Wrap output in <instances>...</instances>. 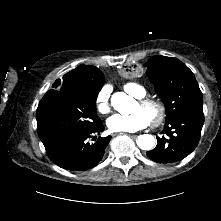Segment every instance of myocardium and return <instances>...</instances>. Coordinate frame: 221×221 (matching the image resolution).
<instances>
[{
	"label": "myocardium",
	"instance_id": "f54148a6",
	"mask_svg": "<svg viewBox=\"0 0 221 221\" xmlns=\"http://www.w3.org/2000/svg\"><path fill=\"white\" fill-rule=\"evenodd\" d=\"M138 104L141 106H154L157 109V114L153 120H151V125L153 127L159 126L166 115V107L162 101L155 98H139Z\"/></svg>",
	"mask_w": 221,
	"mask_h": 221
}]
</instances>
